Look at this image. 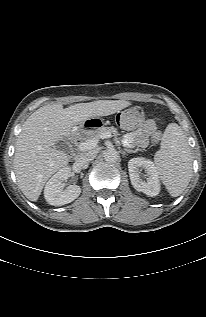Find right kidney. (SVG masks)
<instances>
[{
  "mask_svg": "<svg viewBox=\"0 0 206 317\" xmlns=\"http://www.w3.org/2000/svg\"><path fill=\"white\" fill-rule=\"evenodd\" d=\"M70 177V168L64 167L53 175L44 189V197L50 205L62 206L74 201L81 193L78 185L63 188V182Z\"/></svg>",
  "mask_w": 206,
  "mask_h": 317,
  "instance_id": "1",
  "label": "right kidney"
}]
</instances>
